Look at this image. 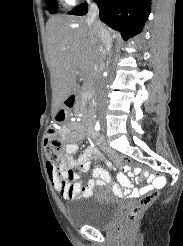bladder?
<instances>
[{"mask_svg":"<svg viewBox=\"0 0 183 246\" xmlns=\"http://www.w3.org/2000/svg\"><path fill=\"white\" fill-rule=\"evenodd\" d=\"M119 200L105 192H99L79 209L69 212V220L76 227L105 228L119 210Z\"/></svg>","mask_w":183,"mask_h":246,"instance_id":"bladder-1","label":"bladder"}]
</instances>
